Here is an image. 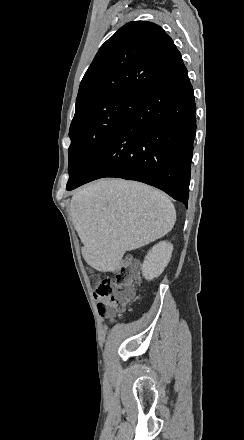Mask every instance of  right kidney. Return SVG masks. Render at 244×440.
<instances>
[{
	"mask_svg": "<svg viewBox=\"0 0 244 440\" xmlns=\"http://www.w3.org/2000/svg\"><path fill=\"white\" fill-rule=\"evenodd\" d=\"M173 252L172 244L169 242H159L153 246L149 254L145 256L142 266V274L145 280H153L158 278L164 272V268L168 266Z\"/></svg>",
	"mask_w": 244,
	"mask_h": 440,
	"instance_id": "right-kidney-1",
	"label": "right kidney"
}]
</instances>
